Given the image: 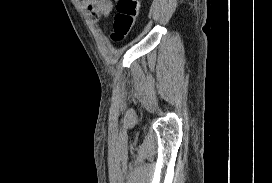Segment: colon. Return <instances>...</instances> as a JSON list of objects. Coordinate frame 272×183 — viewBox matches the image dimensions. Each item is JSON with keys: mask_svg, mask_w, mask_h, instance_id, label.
Returning a JSON list of instances; mask_svg holds the SVG:
<instances>
[{"mask_svg": "<svg viewBox=\"0 0 272 183\" xmlns=\"http://www.w3.org/2000/svg\"><path fill=\"white\" fill-rule=\"evenodd\" d=\"M140 9L139 0L117 1L112 35L115 41H121L128 35L140 14Z\"/></svg>", "mask_w": 272, "mask_h": 183, "instance_id": "1", "label": "colon"}]
</instances>
